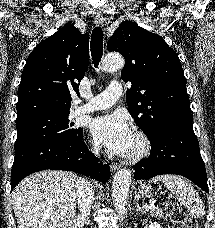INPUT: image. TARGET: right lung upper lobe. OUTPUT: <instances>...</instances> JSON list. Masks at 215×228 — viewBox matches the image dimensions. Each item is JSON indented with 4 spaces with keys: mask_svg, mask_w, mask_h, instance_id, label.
I'll use <instances>...</instances> for the list:
<instances>
[{
    "mask_svg": "<svg viewBox=\"0 0 215 228\" xmlns=\"http://www.w3.org/2000/svg\"><path fill=\"white\" fill-rule=\"evenodd\" d=\"M89 64V35L66 24L29 55L18 89L17 120L67 113Z\"/></svg>",
    "mask_w": 215,
    "mask_h": 228,
    "instance_id": "cb5924a9",
    "label": "right lung upper lobe"
}]
</instances>
